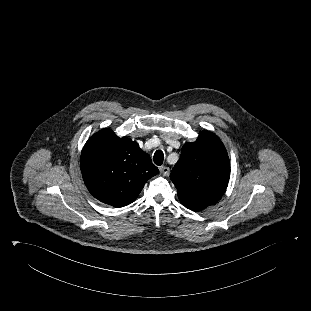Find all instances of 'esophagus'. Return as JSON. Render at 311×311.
<instances>
[{
	"instance_id": "1",
	"label": "esophagus",
	"mask_w": 311,
	"mask_h": 311,
	"mask_svg": "<svg viewBox=\"0 0 311 311\" xmlns=\"http://www.w3.org/2000/svg\"><path fill=\"white\" fill-rule=\"evenodd\" d=\"M159 170L164 176H168L170 173V169L167 166H161Z\"/></svg>"
}]
</instances>
